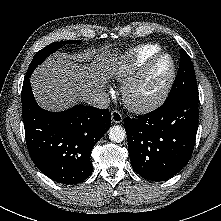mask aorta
I'll return each mask as SVG.
<instances>
[{"label":"aorta","mask_w":221,"mask_h":221,"mask_svg":"<svg viewBox=\"0 0 221 221\" xmlns=\"http://www.w3.org/2000/svg\"><path fill=\"white\" fill-rule=\"evenodd\" d=\"M109 139L113 142L120 143L126 138V131L119 125L112 126L108 131Z\"/></svg>","instance_id":"aorta-1"}]
</instances>
